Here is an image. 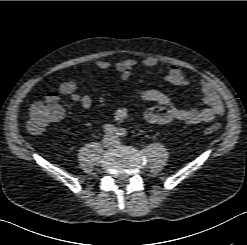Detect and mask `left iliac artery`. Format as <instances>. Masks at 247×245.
<instances>
[{
	"label": "left iliac artery",
	"mask_w": 247,
	"mask_h": 245,
	"mask_svg": "<svg viewBox=\"0 0 247 245\" xmlns=\"http://www.w3.org/2000/svg\"><path fill=\"white\" fill-rule=\"evenodd\" d=\"M116 134L119 136V137H125L126 136V130L123 129V128H120L117 130Z\"/></svg>",
	"instance_id": "44dca946"
}]
</instances>
